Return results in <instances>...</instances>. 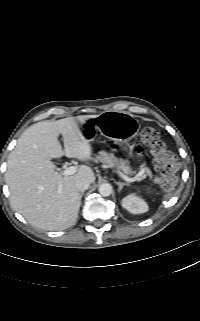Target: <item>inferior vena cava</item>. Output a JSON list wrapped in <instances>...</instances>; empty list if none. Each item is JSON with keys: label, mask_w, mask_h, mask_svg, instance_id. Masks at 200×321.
Here are the masks:
<instances>
[{"label": "inferior vena cava", "mask_w": 200, "mask_h": 321, "mask_svg": "<svg viewBox=\"0 0 200 321\" xmlns=\"http://www.w3.org/2000/svg\"><path fill=\"white\" fill-rule=\"evenodd\" d=\"M75 186L78 191L83 192L89 188L90 181L86 178H81L76 181Z\"/></svg>", "instance_id": "1"}]
</instances>
